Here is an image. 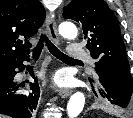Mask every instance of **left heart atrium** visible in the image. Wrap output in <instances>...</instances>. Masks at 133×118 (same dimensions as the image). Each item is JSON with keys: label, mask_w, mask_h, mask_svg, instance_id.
I'll list each match as a JSON object with an SVG mask.
<instances>
[{"label": "left heart atrium", "mask_w": 133, "mask_h": 118, "mask_svg": "<svg viewBox=\"0 0 133 118\" xmlns=\"http://www.w3.org/2000/svg\"><path fill=\"white\" fill-rule=\"evenodd\" d=\"M54 82L57 84V85H64L66 80H65V77L63 74H57L55 77H54Z\"/></svg>", "instance_id": "obj_1"}]
</instances>
